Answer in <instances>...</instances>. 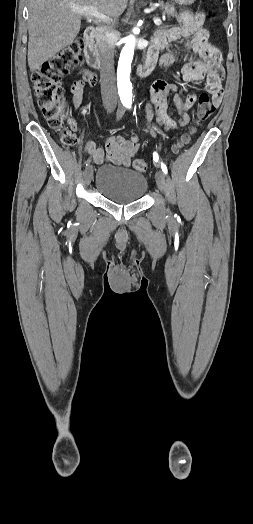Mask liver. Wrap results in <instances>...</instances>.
Listing matches in <instances>:
<instances>
[{
	"label": "liver",
	"mask_w": 253,
	"mask_h": 524,
	"mask_svg": "<svg viewBox=\"0 0 253 524\" xmlns=\"http://www.w3.org/2000/svg\"><path fill=\"white\" fill-rule=\"evenodd\" d=\"M128 0H29L28 65L32 72L69 46L81 30V15L72 5L93 6L103 14L119 17Z\"/></svg>",
	"instance_id": "liver-1"
}]
</instances>
